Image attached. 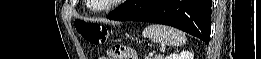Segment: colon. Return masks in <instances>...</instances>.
Instances as JSON below:
<instances>
[{
	"mask_svg": "<svg viewBox=\"0 0 261 59\" xmlns=\"http://www.w3.org/2000/svg\"><path fill=\"white\" fill-rule=\"evenodd\" d=\"M78 34L87 42L94 45H102L107 42L108 31L105 26L97 23H76ZM110 59H136L135 52L124 46H114L109 50Z\"/></svg>",
	"mask_w": 261,
	"mask_h": 59,
	"instance_id": "colon-1",
	"label": "colon"
}]
</instances>
